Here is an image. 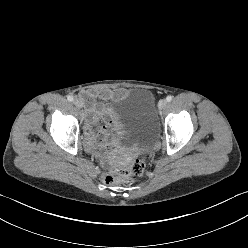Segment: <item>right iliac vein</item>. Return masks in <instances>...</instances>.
<instances>
[{
	"instance_id": "obj_1",
	"label": "right iliac vein",
	"mask_w": 248,
	"mask_h": 248,
	"mask_svg": "<svg viewBox=\"0 0 248 248\" xmlns=\"http://www.w3.org/2000/svg\"><path fill=\"white\" fill-rule=\"evenodd\" d=\"M73 104H74L76 107H78V108H81V107L83 106L82 101H81L80 99H78V98H75V99L73 100Z\"/></svg>"
}]
</instances>
